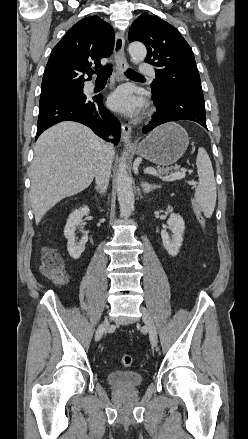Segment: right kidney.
<instances>
[{"label": "right kidney", "instance_id": "ca27d5eb", "mask_svg": "<svg viewBox=\"0 0 248 439\" xmlns=\"http://www.w3.org/2000/svg\"><path fill=\"white\" fill-rule=\"evenodd\" d=\"M90 210L88 206H83L78 210L71 213L67 219L66 226L64 228V236L68 240L67 250L71 258L79 259L82 252L85 250V244L88 241V236L84 235L79 243H76L75 231L76 227L82 225L83 216H87Z\"/></svg>", "mask_w": 248, "mask_h": 439}]
</instances>
